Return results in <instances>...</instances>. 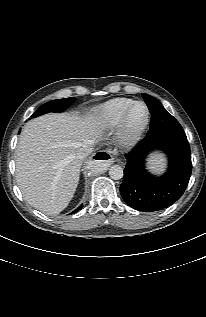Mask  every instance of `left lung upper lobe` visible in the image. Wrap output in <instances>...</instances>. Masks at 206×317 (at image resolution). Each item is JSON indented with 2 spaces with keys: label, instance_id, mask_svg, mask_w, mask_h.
<instances>
[{
  "label": "left lung upper lobe",
  "instance_id": "left-lung-upper-lobe-1",
  "mask_svg": "<svg viewBox=\"0 0 206 317\" xmlns=\"http://www.w3.org/2000/svg\"><path fill=\"white\" fill-rule=\"evenodd\" d=\"M152 115L150 129L146 137L153 138L163 135H185L179 122L170 115L162 104L148 94H142Z\"/></svg>",
  "mask_w": 206,
  "mask_h": 317
}]
</instances>
